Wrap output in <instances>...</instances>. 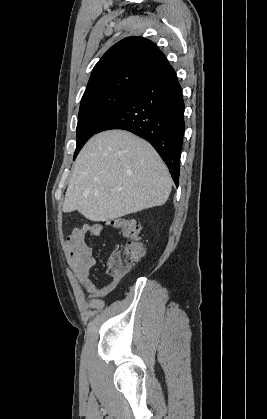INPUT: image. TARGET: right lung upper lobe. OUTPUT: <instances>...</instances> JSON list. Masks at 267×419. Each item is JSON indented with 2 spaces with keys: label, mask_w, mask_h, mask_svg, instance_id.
<instances>
[{
  "label": "right lung upper lobe",
  "mask_w": 267,
  "mask_h": 419,
  "mask_svg": "<svg viewBox=\"0 0 267 419\" xmlns=\"http://www.w3.org/2000/svg\"><path fill=\"white\" fill-rule=\"evenodd\" d=\"M167 66L165 55L152 41L142 37L125 38L95 65L82 98L108 90L139 87Z\"/></svg>",
  "instance_id": "cb5924a9"
}]
</instances>
